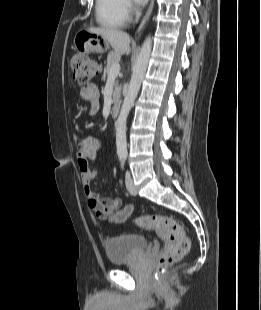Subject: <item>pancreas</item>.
I'll list each match as a JSON object with an SVG mask.
<instances>
[{
	"mask_svg": "<svg viewBox=\"0 0 261 310\" xmlns=\"http://www.w3.org/2000/svg\"><path fill=\"white\" fill-rule=\"evenodd\" d=\"M120 55L115 52H110L107 57V65L105 67V72L109 73V70L112 65L119 63ZM120 97V89L118 87V82L114 83V91H113V102L117 103Z\"/></svg>",
	"mask_w": 261,
	"mask_h": 310,
	"instance_id": "1",
	"label": "pancreas"
}]
</instances>
